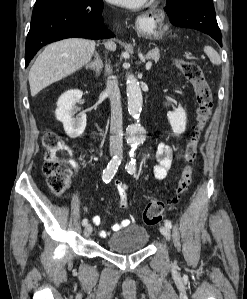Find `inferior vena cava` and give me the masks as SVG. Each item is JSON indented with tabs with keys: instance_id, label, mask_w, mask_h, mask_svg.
Segmentation results:
<instances>
[{
	"instance_id": "inferior-vena-cava-1",
	"label": "inferior vena cava",
	"mask_w": 247,
	"mask_h": 299,
	"mask_svg": "<svg viewBox=\"0 0 247 299\" xmlns=\"http://www.w3.org/2000/svg\"><path fill=\"white\" fill-rule=\"evenodd\" d=\"M106 72H111L109 65H106ZM106 92L111 103L110 152L120 154L123 147L122 108L118 82L114 78L107 81Z\"/></svg>"
}]
</instances>
